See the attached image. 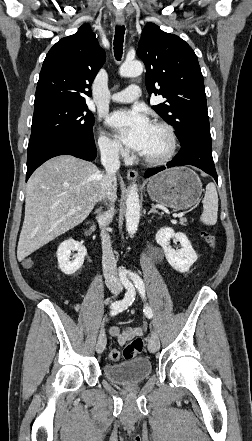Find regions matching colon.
I'll use <instances>...</instances> for the list:
<instances>
[{
  "mask_svg": "<svg viewBox=\"0 0 252 441\" xmlns=\"http://www.w3.org/2000/svg\"><path fill=\"white\" fill-rule=\"evenodd\" d=\"M201 234L209 245L211 246L214 245L215 239L210 233L204 231ZM25 265L30 266L31 261L26 260ZM143 347H144V343L142 338L140 336H137L122 350L112 349L109 352V359L113 362H116L119 361L121 358L124 359L133 358L143 350Z\"/></svg>",
  "mask_w": 252,
  "mask_h": 441,
  "instance_id": "colon-1",
  "label": "colon"
}]
</instances>
